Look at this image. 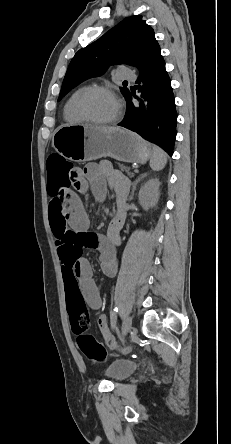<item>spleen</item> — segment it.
<instances>
[{
    "instance_id": "spleen-1",
    "label": "spleen",
    "mask_w": 231,
    "mask_h": 444,
    "mask_svg": "<svg viewBox=\"0 0 231 444\" xmlns=\"http://www.w3.org/2000/svg\"><path fill=\"white\" fill-rule=\"evenodd\" d=\"M166 163H167L166 154L163 152V150L154 146L150 159V167L155 171H159L165 167Z\"/></svg>"
}]
</instances>
